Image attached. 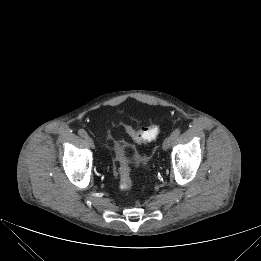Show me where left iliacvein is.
I'll return each mask as SVG.
<instances>
[{"instance_id":"4c4485c4","label":"left iliac vein","mask_w":261,"mask_h":261,"mask_svg":"<svg viewBox=\"0 0 261 261\" xmlns=\"http://www.w3.org/2000/svg\"><path fill=\"white\" fill-rule=\"evenodd\" d=\"M173 142H174V140L172 139L171 136H170V137H167V138L164 140L163 144H162V149H163V150L169 149Z\"/></svg>"}]
</instances>
